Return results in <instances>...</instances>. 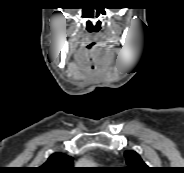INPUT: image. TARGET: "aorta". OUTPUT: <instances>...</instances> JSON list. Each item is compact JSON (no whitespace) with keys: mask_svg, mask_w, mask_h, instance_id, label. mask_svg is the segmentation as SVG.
<instances>
[{"mask_svg":"<svg viewBox=\"0 0 184 173\" xmlns=\"http://www.w3.org/2000/svg\"><path fill=\"white\" fill-rule=\"evenodd\" d=\"M82 164L90 165L91 162L89 160H84V161H82Z\"/></svg>","mask_w":184,"mask_h":173,"instance_id":"762f6f07","label":"aorta"}]
</instances>
